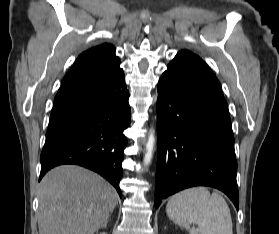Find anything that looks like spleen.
<instances>
[{
	"label": "spleen",
	"mask_w": 279,
	"mask_h": 234,
	"mask_svg": "<svg viewBox=\"0 0 279 234\" xmlns=\"http://www.w3.org/2000/svg\"><path fill=\"white\" fill-rule=\"evenodd\" d=\"M168 217L190 234H233L230 209L225 199L205 187L173 195L166 206ZM197 228H190V225Z\"/></svg>",
	"instance_id": "spleen-1"
}]
</instances>
